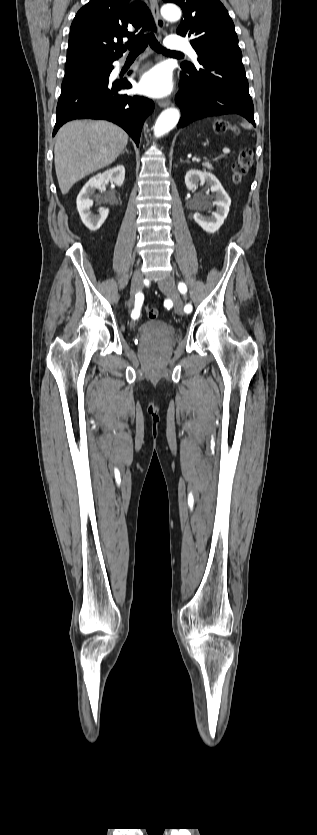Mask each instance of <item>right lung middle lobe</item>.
Masks as SVG:
<instances>
[{
	"label": "right lung middle lobe",
	"instance_id": "right-lung-middle-lobe-1",
	"mask_svg": "<svg viewBox=\"0 0 317 835\" xmlns=\"http://www.w3.org/2000/svg\"><path fill=\"white\" fill-rule=\"evenodd\" d=\"M109 66H111V62L103 58H98L90 63L83 62L77 69L66 71L62 87L103 78L107 75Z\"/></svg>",
	"mask_w": 317,
	"mask_h": 835
}]
</instances>
